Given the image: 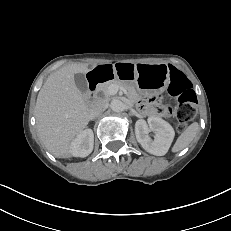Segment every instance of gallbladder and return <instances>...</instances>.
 <instances>
[{
    "instance_id": "gallbladder-1",
    "label": "gallbladder",
    "mask_w": 231,
    "mask_h": 231,
    "mask_svg": "<svg viewBox=\"0 0 231 231\" xmlns=\"http://www.w3.org/2000/svg\"><path fill=\"white\" fill-rule=\"evenodd\" d=\"M74 81L76 84V87L81 91V92H86L87 91V81L83 73H77L74 75Z\"/></svg>"
}]
</instances>
